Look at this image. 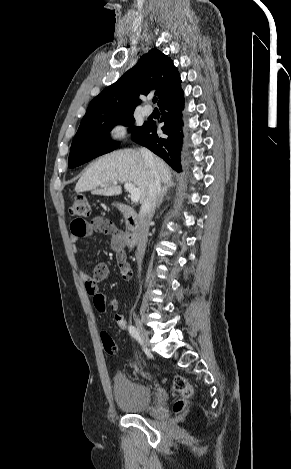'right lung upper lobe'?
Here are the masks:
<instances>
[{
	"instance_id": "cb5924a9",
	"label": "right lung upper lobe",
	"mask_w": 291,
	"mask_h": 469,
	"mask_svg": "<svg viewBox=\"0 0 291 469\" xmlns=\"http://www.w3.org/2000/svg\"><path fill=\"white\" fill-rule=\"evenodd\" d=\"M181 82L172 60L157 49H151L90 102L82 121L134 112L141 103L139 95H147L151 89H157L159 105L181 89Z\"/></svg>"
}]
</instances>
